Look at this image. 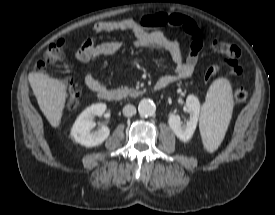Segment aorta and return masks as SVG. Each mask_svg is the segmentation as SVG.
I'll return each instance as SVG.
<instances>
[{
  "label": "aorta",
  "mask_w": 275,
  "mask_h": 215,
  "mask_svg": "<svg viewBox=\"0 0 275 215\" xmlns=\"http://www.w3.org/2000/svg\"><path fill=\"white\" fill-rule=\"evenodd\" d=\"M138 111L141 116H152L155 114L156 106L151 100L143 99L139 102Z\"/></svg>",
  "instance_id": "obj_1"
}]
</instances>
